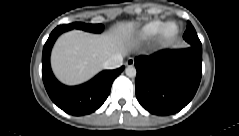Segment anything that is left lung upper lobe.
Wrapping results in <instances>:
<instances>
[{
    "label": "left lung upper lobe",
    "mask_w": 239,
    "mask_h": 136,
    "mask_svg": "<svg viewBox=\"0 0 239 136\" xmlns=\"http://www.w3.org/2000/svg\"><path fill=\"white\" fill-rule=\"evenodd\" d=\"M184 40L190 45L198 49H202L201 42L192 24L187 22V29L183 35Z\"/></svg>",
    "instance_id": "5c2ea615"
}]
</instances>
